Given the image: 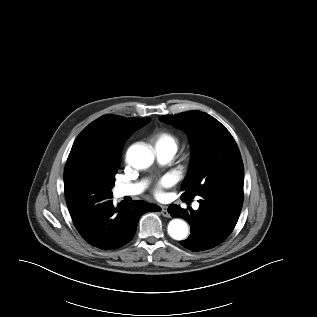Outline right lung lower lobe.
I'll use <instances>...</instances> for the list:
<instances>
[{
    "instance_id": "98d812e1",
    "label": "right lung lower lobe",
    "mask_w": 317,
    "mask_h": 317,
    "mask_svg": "<svg viewBox=\"0 0 317 317\" xmlns=\"http://www.w3.org/2000/svg\"><path fill=\"white\" fill-rule=\"evenodd\" d=\"M72 220L81 236L92 246L115 250L132 240L139 218L149 211H160L155 204L133 201L113 206L111 198L90 201L77 194L66 195Z\"/></svg>"
}]
</instances>
